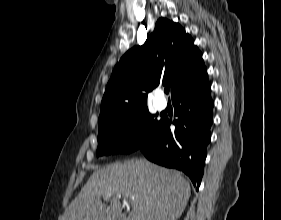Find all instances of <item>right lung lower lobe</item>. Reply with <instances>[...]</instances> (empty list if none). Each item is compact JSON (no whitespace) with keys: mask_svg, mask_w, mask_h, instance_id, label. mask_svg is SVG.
<instances>
[{"mask_svg":"<svg viewBox=\"0 0 281 220\" xmlns=\"http://www.w3.org/2000/svg\"><path fill=\"white\" fill-rule=\"evenodd\" d=\"M208 79L177 91L172 98L175 107V131L162 118L155 133L138 150L159 165L175 168L189 176L194 186L201 184L207 145L210 142L213 100ZM198 190V188H197Z\"/></svg>","mask_w":281,"mask_h":220,"instance_id":"right-lung-lower-lobe-1","label":"right lung lower lobe"}]
</instances>
